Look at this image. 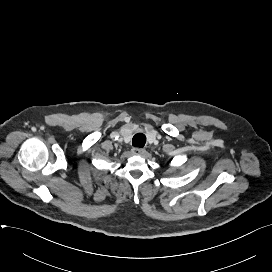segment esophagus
<instances>
[{"instance_id": "1", "label": "esophagus", "mask_w": 272, "mask_h": 272, "mask_svg": "<svg viewBox=\"0 0 272 272\" xmlns=\"http://www.w3.org/2000/svg\"><path fill=\"white\" fill-rule=\"evenodd\" d=\"M132 151L134 154H137V155H144L146 152L145 149L143 148H133Z\"/></svg>"}]
</instances>
